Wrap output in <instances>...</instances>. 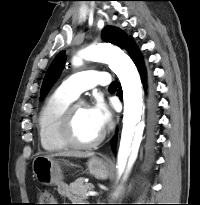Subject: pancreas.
<instances>
[{
	"label": "pancreas",
	"instance_id": "1",
	"mask_svg": "<svg viewBox=\"0 0 200 205\" xmlns=\"http://www.w3.org/2000/svg\"><path fill=\"white\" fill-rule=\"evenodd\" d=\"M94 188L91 183H84V178L80 177L69 186V199L82 201L87 198L86 193Z\"/></svg>",
	"mask_w": 200,
	"mask_h": 205
}]
</instances>
